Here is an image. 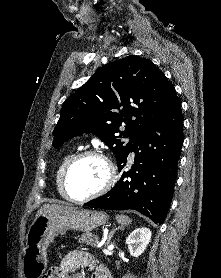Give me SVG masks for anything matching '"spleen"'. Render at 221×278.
Listing matches in <instances>:
<instances>
[{"mask_svg":"<svg viewBox=\"0 0 221 278\" xmlns=\"http://www.w3.org/2000/svg\"><path fill=\"white\" fill-rule=\"evenodd\" d=\"M116 220L122 227L129 225L131 223V219L125 215H117Z\"/></svg>","mask_w":221,"mask_h":278,"instance_id":"obj_1","label":"spleen"}]
</instances>
